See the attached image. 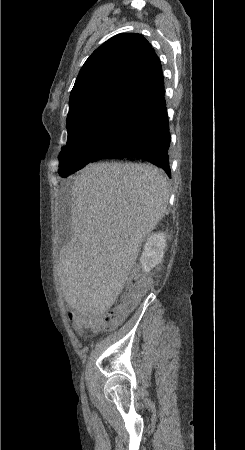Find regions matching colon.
I'll return each mask as SVG.
<instances>
[{
  "label": "colon",
  "mask_w": 245,
  "mask_h": 450,
  "mask_svg": "<svg viewBox=\"0 0 245 450\" xmlns=\"http://www.w3.org/2000/svg\"><path fill=\"white\" fill-rule=\"evenodd\" d=\"M146 290L147 287L142 283L141 276L131 275L125 282V292L119 296L117 302L111 308L83 319L80 329L112 328L120 324L134 310Z\"/></svg>",
  "instance_id": "colon-1"
}]
</instances>
